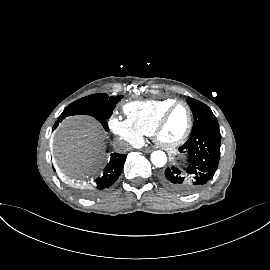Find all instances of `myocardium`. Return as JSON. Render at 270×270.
<instances>
[{
	"label": "myocardium",
	"mask_w": 270,
	"mask_h": 270,
	"mask_svg": "<svg viewBox=\"0 0 270 270\" xmlns=\"http://www.w3.org/2000/svg\"><path fill=\"white\" fill-rule=\"evenodd\" d=\"M185 106L187 111H188V124H187V127H186V130L184 131V133L182 134L181 137H179L178 139L176 140H173V141H165L161 138V132H162V129L169 117V115L171 114V112L177 107V106ZM192 128H193V112H192V109L190 107V105L185 102V101H176L174 102L173 104H171L163 113L162 115L160 116V118L158 119L155 127H154V130H153V134H152V137H153V140L154 142L164 148V149H173V148H176L180 145H182L189 137L191 131H192Z\"/></svg>",
	"instance_id": "obj_1"
}]
</instances>
